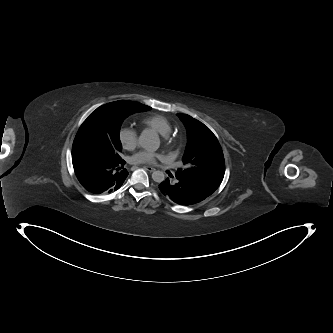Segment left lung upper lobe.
<instances>
[{
    "label": "left lung upper lobe",
    "mask_w": 333,
    "mask_h": 333,
    "mask_svg": "<svg viewBox=\"0 0 333 333\" xmlns=\"http://www.w3.org/2000/svg\"><path fill=\"white\" fill-rule=\"evenodd\" d=\"M178 116L187 129L188 143L182 159L186 167L176 174L210 196L221 184L225 173L221 146L203 123L186 114Z\"/></svg>",
    "instance_id": "obj_1"
}]
</instances>
